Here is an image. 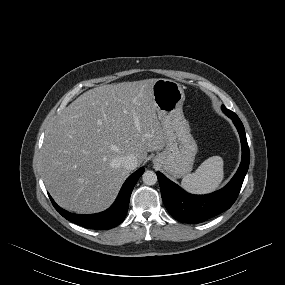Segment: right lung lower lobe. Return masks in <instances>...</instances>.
Wrapping results in <instances>:
<instances>
[{
    "label": "right lung lower lobe",
    "instance_id": "1",
    "mask_svg": "<svg viewBox=\"0 0 285 285\" xmlns=\"http://www.w3.org/2000/svg\"><path fill=\"white\" fill-rule=\"evenodd\" d=\"M143 172L144 168H140L129 176L123 184L115 203L108 210L101 213L91 215L72 214L60 208L50 195L49 198L55 209L67 220L90 229H110L119 225L124 220L131 192Z\"/></svg>",
    "mask_w": 285,
    "mask_h": 285
}]
</instances>
